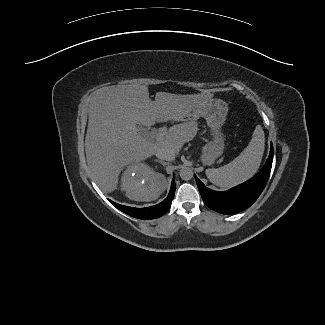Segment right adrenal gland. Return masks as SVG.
<instances>
[{"label": "right adrenal gland", "mask_w": 325, "mask_h": 325, "mask_svg": "<svg viewBox=\"0 0 325 325\" xmlns=\"http://www.w3.org/2000/svg\"><path fill=\"white\" fill-rule=\"evenodd\" d=\"M154 161L162 164L163 166L167 165V162H164L162 160L155 159Z\"/></svg>", "instance_id": "2a0ac1e0"}]
</instances>
